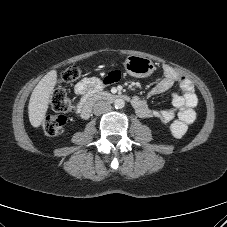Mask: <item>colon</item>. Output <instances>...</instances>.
<instances>
[{
  "mask_svg": "<svg viewBox=\"0 0 227 227\" xmlns=\"http://www.w3.org/2000/svg\"><path fill=\"white\" fill-rule=\"evenodd\" d=\"M82 74L79 67L73 66L68 68L62 75L63 83H74ZM50 104L55 114L45 116L42 122V128L46 135H59L67 122L65 114L74 110V103L62 87H57L51 94Z\"/></svg>",
  "mask_w": 227,
  "mask_h": 227,
  "instance_id": "5ec220e1",
  "label": "colon"
}]
</instances>
